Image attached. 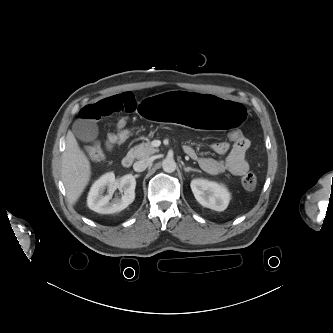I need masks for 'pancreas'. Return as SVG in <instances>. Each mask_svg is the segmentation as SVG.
I'll list each match as a JSON object with an SVG mask.
<instances>
[{
	"label": "pancreas",
	"mask_w": 333,
	"mask_h": 333,
	"mask_svg": "<svg viewBox=\"0 0 333 333\" xmlns=\"http://www.w3.org/2000/svg\"><path fill=\"white\" fill-rule=\"evenodd\" d=\"M155 152H158V149L151 146V144L148 142L139 144L130 149L129 155L136 159H144L154 154Z\"/></svg>",
	"instance_id": "obj_1"
}]
</instances>
